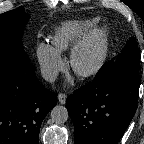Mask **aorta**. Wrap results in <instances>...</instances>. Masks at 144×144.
<instances>
[{
	"mask_svg": "<svg viewBox=\"0 0 144 144\" xmlns=\"http://www.w3.org/2000/svg\"><path fill=\"white\" fill-rule=\"evenodd\" d=\"M51 118L56 124L65 123L69 118L67 108L60 105L55 106L51 110Z\"/></svg>",
	"mask_w": 144,
	"mask_h": 144,
	"instance_id": "1",
	"label": "aorta"
}]
</instances>
